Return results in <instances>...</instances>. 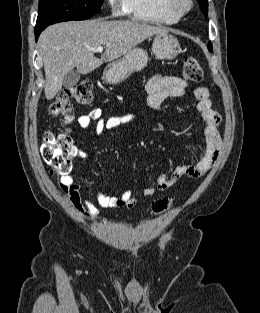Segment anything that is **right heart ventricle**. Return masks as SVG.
Returning a JSON list of instances; mask_svg holds the SVG:
<instances>
[{
  "label": "right heart ventricle",
  "mask_w": 260,
  "mask_h": 313,
  "mask_svg": "<svg viewBox=\"0 0 260 313\" xmlns=\"http://www.w3.org/2000/svg\"><path fill=\"white\" fill-rule=\"evenodd\" d=\"M125 13L134 21L171 25L179 18L163 6V0H123Z\"/></svg>",
  "instance_id": "right-heart-ventricle-1"
}]
</instances>
